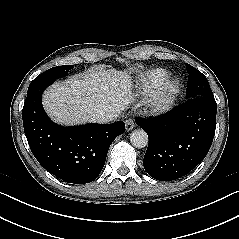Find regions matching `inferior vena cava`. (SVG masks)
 I'll return each mask as SVG.
<instances>
[{
  "label": "inferior vena cava",
  "instance_id": "602c4592",
  "mask_svg": "<svg viewBox=\"0 0 239 239\" xmlns=\"http://www.w3.org/2000/svg\"><path fill=\"white\" fill-rule=\"evenodd\" d=\"M116 118L115 114H106L104 112H99L95 115L94 120L98 123H108Z\"/></svg>",
  "mask_w": 239,
  "mask_h": 239
}]
</instances>
